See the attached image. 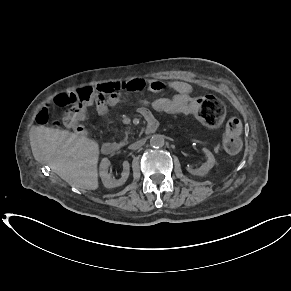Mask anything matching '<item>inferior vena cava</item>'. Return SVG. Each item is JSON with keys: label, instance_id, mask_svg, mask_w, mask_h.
Segmentation results:
<instances>
[{"label": "inferior vena cava", "instance_id": "602c4592", "mask_svg": "<svg viewBox=\"0 0 291 291\" xmlns=\"http://www.w3.org/2000/svg\"><path fill=\"white\" fill-rule=\"evenodd\" d=\"M144 144H145V140H139V141L131 144L129 146V148L136 150V149H139L140 147H142Z\"/></svg>", "mask_w": 291, "mask_h": 291}]
</instances>
